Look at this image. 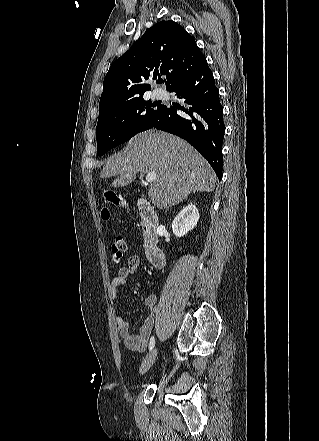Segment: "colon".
Masks as SVG:
<instances>
[{
	"instance_id": "5ec220e1",
	"label": "colon",
	"mask_w": 319,
	"mask_h": 441,
	"mask_svg": "<svg viewBox=\"0 0 319 441\" xmlns=\"http://www.w3.org/2000/svg\"><path fill=\"white\" fill-rule=\"evenodd\" d=\"M105 198L109 204H114V205L122 206V207L127 206L126 201L122 197L116 195L113 192L106 193ZM102 217H103V219H108L110 217V212H109L108 208H105L102 211ZM111 250H112V253L118 258H120L126 252L127 243H126L125 238L121 234L114 235L113 240H112V244H111Z\"/></svg>"
}]
</instances>
